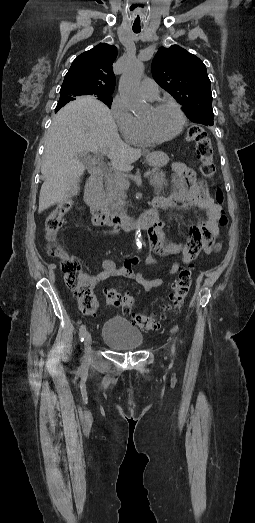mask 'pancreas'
<instances>
[{
    "mask_svg": "<svg viewBox=\"0 0 255 523\" xmlns=\"http://www.w3.org/2000/svg\"><path fill=\"white\" fill-rule=\"evenodd\" d=\"M150 178L155 194H160L164 186H168L166 176L161 170H152ZM124 180L128 182L125 174L112 176L107 174L105 176L106 202L110 212H113V214H122L126 206L125 200L127 196L123 186Z\"/></svg>",
    "mask_w": 255,
    "mask_h": 523,
    "instance_id": "pancreas-1",
    "label": "pancreas"
}]
</instances>
